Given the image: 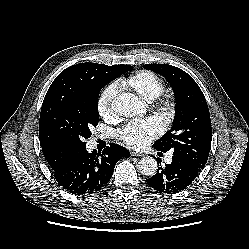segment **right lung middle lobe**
<instances>
[{"mask_svg": "<svg viewBox=\"0 0 249 249\" xmlns=\"http://www.w3.org/2000/svg\"><path fill=\"white\" fill-rule=\"evenodd\" d=\"M99 79L92 81L65 69L49 87L41 108L40 143L65 147L75 153L99 122L98 96L110 81L129 71L130 65L98 64Z\"/></svg>", "mask_w": 249, "mask_h": 249, "instance_id": "dd1d6c3e", "label": "right lung middle lobe"}]
</instances>
